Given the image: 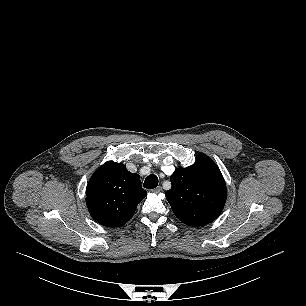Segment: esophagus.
<instances>
[{
  "mask_svg": "<svg viewBox=\"0 0 306 306\" xmlns=\"http://www.w3.org/2000/svg\"><path fill=\"white\" fill-rule=\"evenodd\" d=\"M161 191H162L161 186H158V187H156L155 189L152 190V192H154V193H160Z\"/></svg>",
  "mask_w": 306,
  "mask_h": 306,
  "instance_id": "1",
  "label": "esophagus"
}]
</instances>
